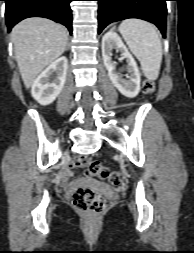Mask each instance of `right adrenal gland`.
Returning a JSON list of instances; mask_svg holds the SVG:
<instances>
[{
    "label": "right adrenal gland",
    "mask_w": 194,
    "mask_h": 253,
    "mask_svg": "<svg viewBox=\"0 0 194 253\" xmlns=\"http://www.w3.org/2000/svg\"><path fill=\"white\" fill-rule=\"evenodd\" d=\"M69 48V44L67 43V47H66V49H68Z\"/></svg>",
    "instance_id": "obj_1"
}]
</instances>
